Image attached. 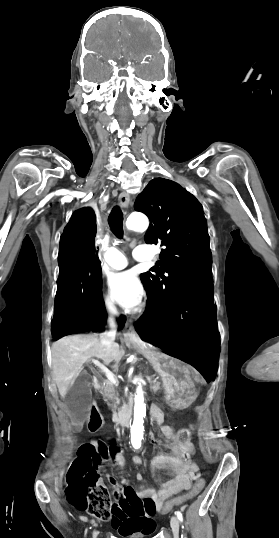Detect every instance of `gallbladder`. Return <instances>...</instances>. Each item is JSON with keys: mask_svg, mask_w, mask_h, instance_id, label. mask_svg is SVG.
I'll return each mask as SVG.
<instances>
[{"mask_svg": "<svg viewBox=\"0 0 279 538\" xmlns=\"http://www.w3.org/2000/svg\"><path fill=\"white\" fill-rule=\"evenodd\" d=\"M92 382V376L87 372H81L78 378H76L72 388H69L66 397L63 400L61 409L64 412L73 410L71 414L72 420L81 419L82 422L87 423L90 421L91 416L87 413L85 405H89L91 402L90 384Z\"/></svg>", "mask_w": 279, "mask_h": 538, "instance_id": "gallbladder-1", "label": "gallbladder"}]
</instances>
